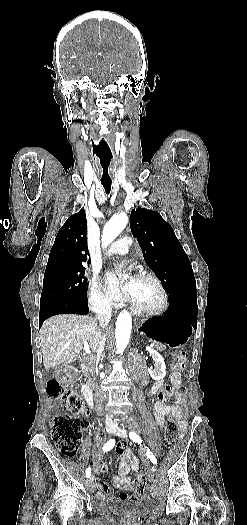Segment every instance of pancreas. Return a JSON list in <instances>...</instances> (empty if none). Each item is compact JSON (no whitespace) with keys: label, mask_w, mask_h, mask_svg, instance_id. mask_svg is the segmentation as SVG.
Wrapping results in <instances>:
<instances>
[{"label":"pancreas","mask_w":247,"mask_h":525,"mask_svg":"<svg viewBox=\"0 0 247 525\" xmlns=\"http://www.w3.org/2000/svg\"><path fill=\"white\" fill-rule=\"evenodd\" d=\"M158 351H159L160 353L166 352V347H165V345H161V346L158 348ZM87 373H90L91 381H95V375H94L93 367H90V369H87Z\"/></svg>","instance_id":"cf45deb5"}]
</instances>
